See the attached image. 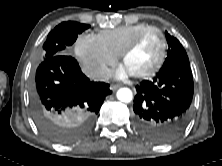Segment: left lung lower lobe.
I'll return each mask as SVG.
<instances>
[{
	"instance_id": "0a47b994",
	"label": "left lung lower lobe",
	"mask_w": 222,
	"mask_h": 166,
	"mask_svg": "<svg viewBox=\"0 0 222 166\" xmlns=\"http://www.w3.org/2000/svg\"><path fill=\"white\" fill-rule=\"evenodd\" d=\"M134 126L145 139L165 144L176 139L190 118L194 84L190 66L161 69L136 86Z\"/></svg>"
}]
</instances>
